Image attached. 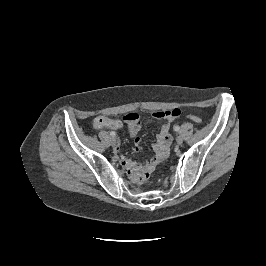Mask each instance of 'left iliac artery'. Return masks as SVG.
I'll return each mask as SVG.
<instances>
[{
	"mask_svg": "<svg viewBox=\"0 0 266 266\" xmlns=\"http://www.w3.org/2000/svg\"><path fill=\"white\" fill-rule=\"evenodd\" d=\"M174 130L175 131H179L180 130V127L178 125L174 126Z\"/></svg>",
	"mask_w": 266,
	"mask_h": 266,
	"instance_id": "1",
	"label": "left iliac artery"
}]
</instances>
